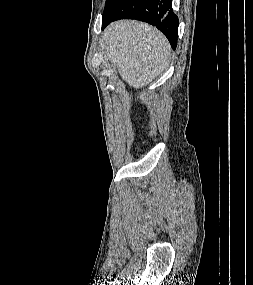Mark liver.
I'll list each match as a JSON object with an SVG mask.
<instances>
[{"label":"liver","instance_id":"liver-1","mask_svg":"<svg viewBox=\"0 0 253 285\" xmlns=\"http://www.w3.org/2000/svg\"><path fill=\"white\" fill-rule=\"evenodd\" d=\"M104 38L107 57L129 86H146L169 65L171 48L168 40L146 23L116 21L106 28Z\"/></svg>","mask_w":253,"mask_h":285}]
</instances>
